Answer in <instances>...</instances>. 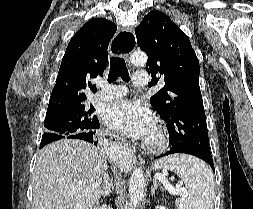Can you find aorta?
Masks as SVG:
<instances>
[{"label": "aorta", "instance_id": "obj_1", "mask_svg": "<svg viewBox=\"0 0 253 209\" xmlns=\"http://www.w3.org/2000/svg\"><path fill=\"white\" fill-rule=\"evenodd\" d=\"M147 55L143 52H134L131 55V63L135 66H144ZM145 178L141 168H135L129 182V197L132 204L138 206L144 196Z\"/></svg>", "mask_w": 253, "mask_h": 209}]
</instances>
